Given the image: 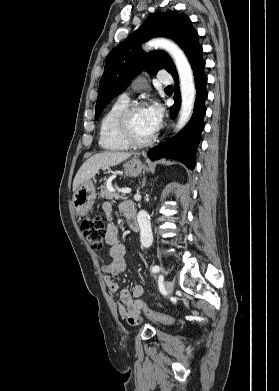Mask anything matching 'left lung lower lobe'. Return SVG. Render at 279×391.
I'll return each instance as SVG.
<instances>
[{
	"label": "left lung lower lobe",
	"instance_id": "obj_1",
	"mask_svg": "<svg viewBox=\"0 0 279 391\" xmlns=\"http://www.w3.org/2000/svg\"><path fill=\"white\" fill-rule=\"evenodd\" d=\"M196 86V100L194 113L188 124L175 137L166 140L163 144L153 147L148 151V157L152 160L159 158L177 159L189 169L195 167V153L201 140V132L204 128L203 118L206 113L205 100L208 97L206 89L207 76L204 73L205 61L202 57V47L194 54L191 62ZM175 80V103L170 107V115L175 118L181 105L178 75Z\"/></svg>",
	"mask_w": 279,
	"mask_h": 391
}]
</instances>
